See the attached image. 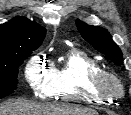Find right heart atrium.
<instances>
[{"instance_id":"d8ad5b80","label":"right heart atrium","mask_w":131,"mask_h":115,"mask_svg":"<svg viewBox=\"0 0 131 115\" xmlns=\"http://www.w3.org/2000/svg\"><path fill=\"white\" fill-rule=\"evenodd\" d=\"M27 84L40 98L49 97L55 89V73L46 57L38 54L30 58L24 69Z\"/></svg>"}]
</instances>
